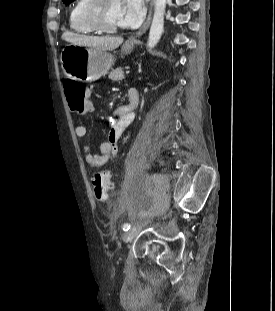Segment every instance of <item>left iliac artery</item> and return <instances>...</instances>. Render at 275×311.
Segmentation results:
<instances>
[{"label": "left iliac artery", "mask_w": 275, "mask_h": 311, "mask_svg": "<svg viewBox=\"0 0 275 311\" xmlns=\"http://www.w3.org/2000/svg\"><path fill=\"white\" fill-rule=\"evenodd\" d=\"M130 227H131V225H130L129 223H125V224L123 225V230H124V231H128V230L130 229Z\"/></svg>", "instance_id": "1"}]
</instances>
